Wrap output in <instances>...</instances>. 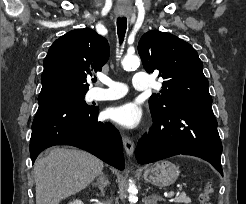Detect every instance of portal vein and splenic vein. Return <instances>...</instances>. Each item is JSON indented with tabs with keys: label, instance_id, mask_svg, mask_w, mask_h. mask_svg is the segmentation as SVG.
<instances>
[{
	"label": "portal vein and splenic vein",
	"instance_id": "18ae733b",
	"mask_svg": "<svg viewBox=\"0 0 246 204\" xmlns=\"http://www.w3.org/2000/svg\"><path fill=\"white\" fill-rule=\"evenodd\" d=\"M169 196H170V197H173V196H174V192H170V193H169Z\"/></svg>",
	"mask_w": 246,
	"mask_h": 204
}]
</instances>
